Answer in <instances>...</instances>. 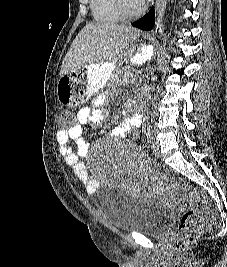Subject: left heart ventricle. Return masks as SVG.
Wrapping results in <instances>:
<instances>
[{
    "mask_svg": "<svg viewBox=\"0 0 227 267\" xmlns=\"http://www.w3.org/2000/svg\"><path fill=\"white\" fill-rule=\"evenodd\" d=\"M125 3H126V5H127V7H128L129 9H132V10H134V9H136V8L139 7V6L135 3L134 0H125Z\"/></svg>",
    "mask_w": 227,
    "mask_h": 267,
    "instance_id": "b2bd125f",
    "label": "left heart ventricle"
}]
</instances>
